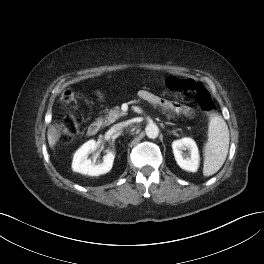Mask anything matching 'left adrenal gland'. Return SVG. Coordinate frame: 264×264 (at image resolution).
I'll return each instance as SVG.
<instances>
[{"mask_svg":"<svg viewBox=\"0 0 264 264\" xmlns=\"http://www.w3.org/2000/svg\"><path fill=\"white\" fill-rule=\"evenodd\" d=\"M165 124L166 125H175L174 123H171V122H166Z\"/></svg>","mask_w":264,"mask_h":264,"instance_id":"left-adrenal-gland-1","label":"left adrenal gland"}]
</instances>
